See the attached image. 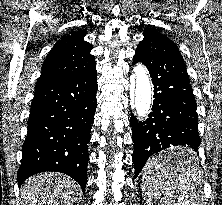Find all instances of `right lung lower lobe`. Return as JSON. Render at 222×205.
Returning a JSON list of instances; mask_svg holds the SVG:
<instances>
[{"label":"right lung lower lobe","mask_w":222,"mask_h":205,"mask_svg":"<svg viewBox=\"0 0 222 205\" xmlns=\"http://www.w3.org/2000/svg\"><path fill=\"white\" fill-rule=\"evenodd\" d=\"M97 89L96 65L80 74L37 82L19 185L36 173L57 171L75 179L85 191Z\"/></svg>","instance_id":"98d812e1"}]
</instances>
